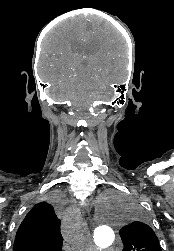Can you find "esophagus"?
I'll list each match as a JSON object with an SVG mask.
<instances>
[{"mask_svg": "<svg viewBox=\"0 0 174 251\" xmlns=\"http://www.w3.org/2000/svg\"><path fill=\"white\" fill-rule=\"evenodd\" d=\"M84 233H85V239L88 245L91 244V236H90V231L87 226H84Z\"/></svg>", "mask_w": 174, "mask_h": 251, "instance_id": "1", "label": "esophagus"}]
</instances>
